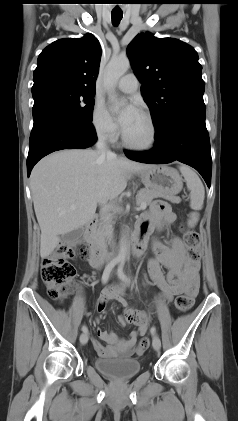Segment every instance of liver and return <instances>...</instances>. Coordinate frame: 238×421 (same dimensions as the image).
<instances>
[{"mask_svg": "<svg viewBox=\"0 0 238 421\" xmlns=\"http://www.w3.org/2000/svg\"><path fill=\"white\" fill-rule=\"evenodd\" d=\"M150 166L87 149L62 150L40 160L30 188L41 229V257L54 251L60 235L91 221L97 203L117 198L133 173Z\"/></svg>", "mask_w": 238, "mask_h": 421, "instance_id": "liver-1", "label": "liver"}]
</instances>
